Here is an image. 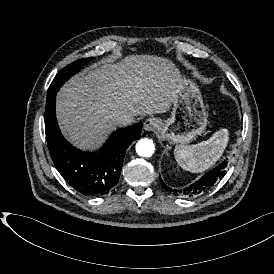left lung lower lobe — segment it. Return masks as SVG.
I'll return each mask as SVG.
<instances>
[{
  "label": "left lung lower lobe",
  "mask_w": 274,
  "mask_h": 274,
  "mask_svg": "<svg viewBox=\"0 0 274 274\" xmlns=\"http://www.w3.org/2000/svg\"><path fill=\"white\" fill-rule=\"evenodd\" d=\"M227 166H228V162L224 161L218 167H216L212 171L205 174L201 179L196 181L194 184L190 185L188 188H185L184 190H177V189L172 190L171 188L166 186V184L162 181L161 178H160V182L164 189L174 192L177 195L180 193L186 194L189 196L198 195L210 190L212 186L219 179L223 178L224 175L226 174Z\"/></svg>",
  "instance_id": "0a47b994"
}]
</instances>
